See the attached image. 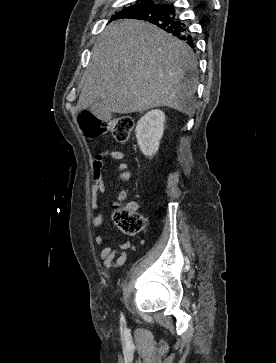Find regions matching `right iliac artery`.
<instances>
[{
    "instance_id": "right-iliac-artery-1",
    "label": "right iliac artery",
    "mask_w": 276,
    "mask_h": 363,
    "mask_svg": "<svg viewBox=\"0 0 276 363\" xmlns=\"http://www.w3.org/2000/svg\"><path fill=\"white\" fill-rule=\"evenodd\" d=\"M121 321H124V316H123V314L121 313Z\"/></svg>"
}]
</instances>
